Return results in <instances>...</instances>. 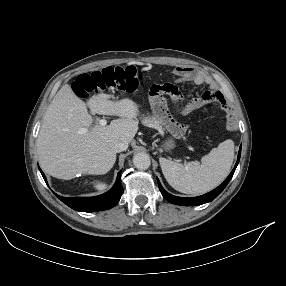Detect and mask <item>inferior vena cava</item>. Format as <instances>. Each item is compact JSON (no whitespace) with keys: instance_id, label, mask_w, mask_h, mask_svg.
Returning <instances> with one entry per match:
<instances>
[{"instance_id":"1","label":"inferior vena cava","mask_w":286,"mask_h":286,"mask_svg":"<svg viewBox=\"0 0 286 286\" xmlns=\"http://www.w3.org/2000/svg\"><path fill=\"white\" fill-rule=\"evenodd\" d=\"M129 142L126 139H119L116 141L114 149L116 152L124 151L128 148Z\"/></svg>"}]
</instances>
